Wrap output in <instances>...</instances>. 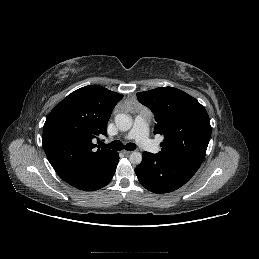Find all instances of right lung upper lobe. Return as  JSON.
<instances>
[{"label": "right lung upper lobe", "instance_id": "obj_1", "mask_svg": "<svg viewBox=\"0 0 259 259\" xmlns=\"http://www.w3.org/2000/svg\"><path fill=\"white\" fill-rule=\"evenodd\" d=\"M122 97L102 86H86L69 94L49 113L43 127V148L64 181L113 159L115 151L94 150L92 140L106 135L112 110Z\"/></svg>", "mask_w": 259, "mask_h": 259}]
</instances>
